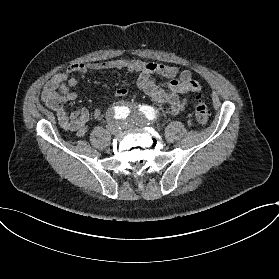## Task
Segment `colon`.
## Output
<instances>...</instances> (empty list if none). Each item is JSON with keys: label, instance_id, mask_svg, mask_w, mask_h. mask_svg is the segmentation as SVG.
Wrapping results in <instances>:
<instances>
[{"label": "colon", "instance_id": "5ec220e1", "mask_svg": "<svg viewBox=\"0 0 279 279\" xmlns=\"http://www.w3.org/2000/svg\"><path fill=\"white\" fill-rule=\"evenodd\" d=\"M196 100L197 102L194 110L195 119L198 124L204 125L208 121L209 111L206 104L202 101L203 98L201 95H197Z\"/></svg>", "mask_w": 279, "mask_h": 279}]
</instances>
